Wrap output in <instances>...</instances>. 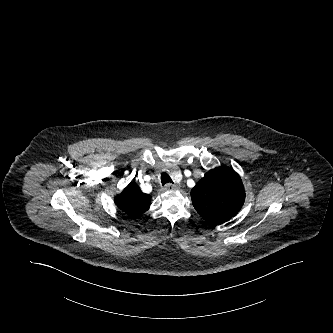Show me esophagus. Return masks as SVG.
Returning a JSON list of instances; mask_svg holds the SVG:
<instances>
[{
  "instance_id": "obj_1",
  "label": "esophagus",
  "mask_w": 333,
  "mask_h": 333,
  "mask_svg": "<svg viewBox=\"0 0 333 333\" xmlns=\"http://www.w3.org/2000/svg\"><path fill=\"white\" fill-rule=\"evenodd\" d=\"M177 188H178L177 185L171 183H168L164 186V190L166 191L176 190Z\"/></svg>"
}]
</instances>
